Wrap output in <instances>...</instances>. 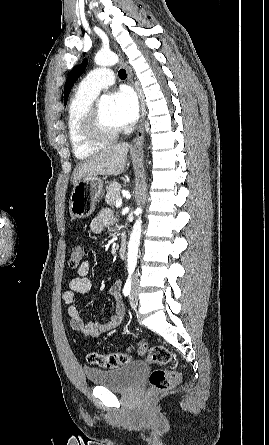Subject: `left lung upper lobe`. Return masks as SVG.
<instances>
[{
  "instance_id": "1",
  "label": "left lung upper lobe",
  "mask_w": 269,
  "mask_h": 445,
  "mask_svg": "<svg viewBox=\"0 0 269 445\" xmlns=\"http://www.w3.org/2000/svg\"><path fill=\"white\" fill-rule=\"evenodd\" d=\"M87 66V59H84L82 64L77 65L73 68L67 77L65 87H64V104L66 105L69 93L74 85V82L83 74Z\"/></svg>"
}]
</instances>
